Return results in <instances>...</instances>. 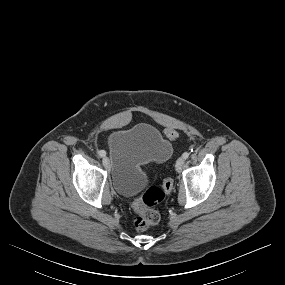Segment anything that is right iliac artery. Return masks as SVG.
Listing matches in <instances>:
<instances>
[{"instance_id": "1", "label": "right iliac artery", "mask_w": 285, "mask_h": 285, "mask_svg": "<svg viewBox=\"0 0 285 285\" xmlns=\"http://www.w3.org/2000/svg\"><path fill=\"white\" fill-rule=\"evenodd\" d=\"M98 154L100 157H104L106 155V152L104 150H99Z\"/></svg>"}]
</instances>
